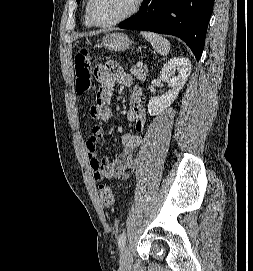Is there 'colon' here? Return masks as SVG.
I'll return each mask as SVG.
<instances>
[{
	"instance_id": "1",
	"label": "colon",
	"mask_w": 253,
	"mask_h": 271,
	"mask_svg": "<svg viewBox=\"0 0 253 271\" xmlns=\"http://www.w3.org/2000/svg\"><path fill=\"white\" fill-rule=\"evenodd\" d=\"M91 62L92 57L86 49L79 50L74 58L75 89L78 94H85L92 90ZM99 196L106 207L111 208L114 206L115 196L111 187L101 184L99 186Z\"/></svg>"
}]
</instances>
